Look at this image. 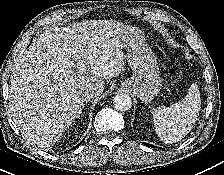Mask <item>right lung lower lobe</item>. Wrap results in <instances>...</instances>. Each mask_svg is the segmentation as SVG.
Masks as SVG:
<instances>
[{"label":"right lung lower lobe","mask_w":224,"mask_h":175,"mask_svg":"<svg viewBox=\"0 0 224 175\" xmlns=\"http://www.w3.org/2000/svg\"><path fill=\"white\" fill-rule=\"evenodd\" d=\"M82 142H83V141H82ZM82 142H81V143H82ZM81 143H79V144H78L77 146H75L74 148H77ZM74 148H73V149H74Z\"/></svg>","instance_id":"1"}]
</instances>
